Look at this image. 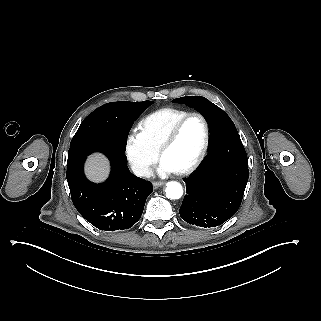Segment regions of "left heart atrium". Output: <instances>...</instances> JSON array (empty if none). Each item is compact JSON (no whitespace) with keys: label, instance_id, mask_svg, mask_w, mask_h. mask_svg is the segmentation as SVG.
Instances as JSON below:
<instances>
[{"label":"left heart atrium","instance_id":"1","mask_svg":"<svg viewBox=\"0 0 321 321\" xmlns=\"http://www.w3.org/2000/svg\"><path fill=\"white\" fill-rule=\"evenodd\" d=\"M178 171L179 170L174 166V164L164 156L159 159L156 165V173L160 176H167Z\"/></svg>","mask_w":321,"mask_h":321}]
</instances>
